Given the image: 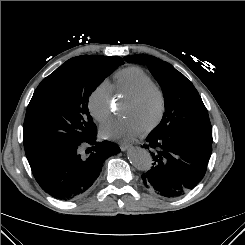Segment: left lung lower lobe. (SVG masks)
<instances>
[{"instance_id": "1", "label": "left lung lower lobe", "mask_w": 245, "mask_h": 245, "mask_svg": "<svg viewBox=\"0 0 245 245\" xmlns=\"http://www.w3.org/2000/svg\"><path fill=\"white\" fill-rule=\"evenodd\" d=\"M153 166L142 175L146 187L166 197H178L205 175L212 143L188 133H150L147 145Z\"/></svg>"}]
</instances>
